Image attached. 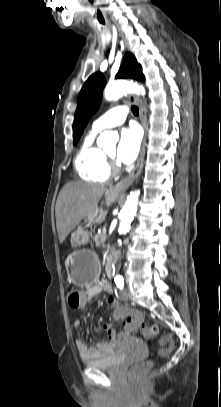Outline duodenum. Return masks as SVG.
I'll list each match as a JSON object with an SVG mask.
<instances>
[{
	"label": "duodenum",
	"instance_id": "obj_1",
	"mask_svg": "<svg viewBox=\"0 0 221 407\" xmlns=\"http://www.w3.org/2000/svg\"><path fill=\"white\" fill-rule=\"evenodd\" d=\"M113 262H114L113 257H109L106 261L105 271L108 276H111L113 272Z\"/></svg>",
	"mask_w": 221,
	"mask_h": 407
}]
</instances>
